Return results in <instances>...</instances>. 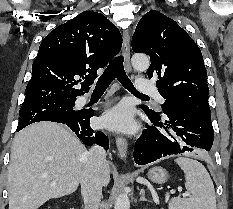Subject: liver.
Here are the masks:
<instances>
[{
  "label": "liver",
  "mask_w": 233,
  "mask_h": 209,
  "mask_svg": "<svg viewBox=\"0 0 233 209\" xmlns=\"http://www.w3.org/2000/svg\"><path fill=\"white\" fill-rule=\"evenodd\" d=\"M86 154L80 140L60 124L39 122L24 128L14 138L8 166L9 209H38L50 199L74 193ZM109 181L107 162L102 184Z\"/></svg>",
  "instance_id": "liver-1"
}]
</instances>
